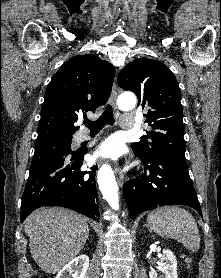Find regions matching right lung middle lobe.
<instances>
[{
    "label": "right lung middle lobe",
    "instance_id": "dd1d6c3e",
    "mask_svg": "<svg viewBox=\"0 0 221 278\" xmlns=\"http://www.w3.org/2000/svg\"><path fill=\"white\" fill-rule=\"evenodd\" d=\"M72 137L56 139L36 144L30 169L44 164L54 158L64 157L75 152L71 150Z\"/></svg>",
    "mask_w": 221,
    "mask_h": 278
}]
</instances>
